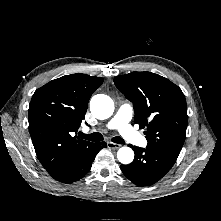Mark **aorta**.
I'll return each instance as SVG.
<instances>
[{
  "mask_svg": "<svg viewBox=\"0 0 221 221\" xmlns=\"http://www.w3.org/2000/svg\"><path fill=\"white\" fill-rule=\"evenodd\" d=\"M90 110L96 118L107 119L114 112L113 100L107 95H95L90 101ZM117 158L122 164H130L134 159V152L130 147H121L117 152Z\"/></svg>",
  "mask_w": 221,
  "mask_h": 221,
  "instance_id": "aorta-1",
  "label": "aorta"
}]
</instances>
